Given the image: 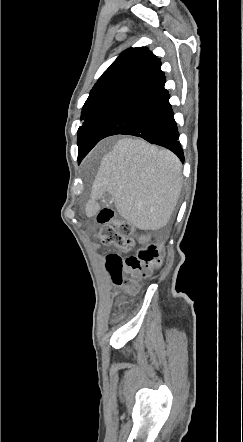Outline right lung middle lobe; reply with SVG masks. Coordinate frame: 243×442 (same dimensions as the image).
Instances as JSON below:
<instances>
[{
  "label": "right lung middle lobe",
  "mask_w": 243,
  "mask_h": 442,
  "mask_svg": "<svg viewBox=\"0 0 243 442\" xmlns=\"http://www.w3.org/2000/svg\"><path fill=\"white\" fill-rule=\"evenodd\" d=\"M125 96L124 94H109L86 100L81 113V119L84 120V123L78 129V159L84 154L99 123Z\"/></svg>",
  "instance_id": "obj_1"
}]
</instances>
